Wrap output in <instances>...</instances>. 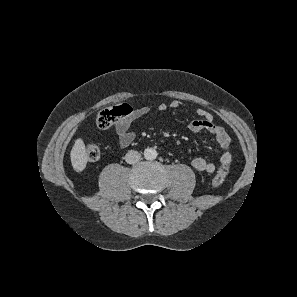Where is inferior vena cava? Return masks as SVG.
I'll return each instance as SVG.
<instances>
[{
    "instance_id": "obj_1",
    "label": "inferior vena cava",
    "mask_w": 297,
    "mask_h": 297,
    "mask_svg": "<svg viewBox=\"0 0 297 297\" xmlns=\"http://www.w3.org/2000/svg\"><path fill=\"white\" fill-rule=\"evenodd\" d=\"M140 153L135 150H130L126 153L125 160L129 164H134L140 160Z\"/></svg>"
}]
</instances>
